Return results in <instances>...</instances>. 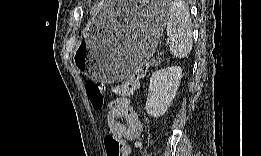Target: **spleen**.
Here are the masks:
<instances>
[{
    "label": "spleen",
    "instance_id": "1",
    "mask_svg": "<svg viewBox=\"0 0 261 156\" xmlns=\"http://www.w3.org/2000/svg\"><path fill=\"white\" fill-rule=\"evenodd\" d=\"M167 34L170 52L176 58L187 57L193 46L192 23L188 8L181 1H170Z\"/></svg>",
    "mask_w": 261,
    "mask_h": 156
}]
</instances>
